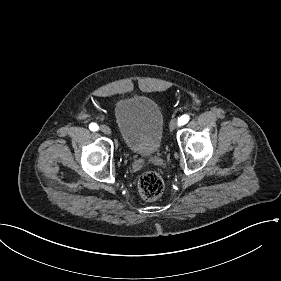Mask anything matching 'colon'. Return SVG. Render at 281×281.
Returning <instances> with one entry per match:
<instances>
[{"instance_id":"obj_1","label":"colon","mask_w":281,"mask_h":281,"mask_svg":"<svg viewBox=\"0 0 281 281\" xmlns=\"http://www.w3.org/2000/svg\"><path fill=\"white\" fill-rule=\"evenodd\" d=\"M138 189L146 199H156L164 190V181L159 173L148 171L140 176Z\"/></svg>"}]
</instances>
